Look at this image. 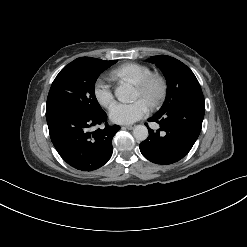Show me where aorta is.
Here are the masks:
<instances>
[{"instance_id": "obj_1", "label": "aorta", "mask_w": 247, "mask_h": 247, "mask_svg": "<svg viewBox=\"0 0 247 247\" xmlns=\"http://www.w3.org/2000/svg\"><path fill=\"white\" fill-rule=\"evenodd\" d=\"M134 95L131 84L122 83L115 89V96L120 102H129ZM133 136L137 141H144L148 137V129L144 125H137L133 129Z\"/></svg>"}]
</instances>
